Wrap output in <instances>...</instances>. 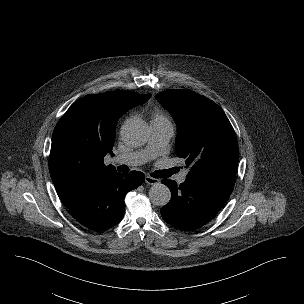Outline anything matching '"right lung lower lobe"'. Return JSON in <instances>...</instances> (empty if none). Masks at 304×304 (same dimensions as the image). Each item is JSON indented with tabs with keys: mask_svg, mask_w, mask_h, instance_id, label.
<instances>
[{
	"mask_svg": "<svg viewBox=\"0 0 304 304\" xmlns=\"http://www.w3.org/2000/svg\"><path fill=\"white\" fill-rule=\"evenodd\" d=\"M145 180L143 173H118L115 169L102 174L91 188L72 206L70 214L82 225L103 231L118 224L123 216L125 195Z\"/></svg>",
	"mask_w": 304,
	"mask_h": 304,
	"instance_id": "1",
	"label": "right lung lower lobe"
}]
</instances>
